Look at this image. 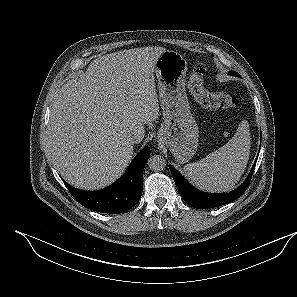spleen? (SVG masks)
I'll use <instances>...</instances> for the list:
<instances>
[{"mask_svg":"<svg viewBox=\"0 0 297 297\" xmlns=\"http://www.w3.org/2000/svg\"><path fill=\"white\" fill-rule=\"evenodd\" d=\"M250 144L249 123L247 120H242L229 142L200 161L186 164L184 173L202 190L229 191L246 169Z\"/></svg>","mask_w":297,"mask_h":297,"instance_id":"obj_1","label":"spleen"}]
</instances>
